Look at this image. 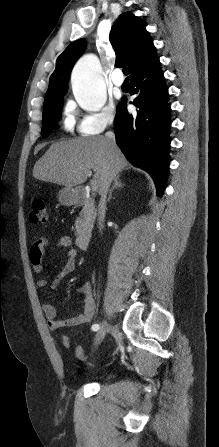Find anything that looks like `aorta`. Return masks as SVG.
I'll return each instance as SVG.
<instances>
[{"label":"aorta","mask_w":219,"mask_h":447,"mask_svg":"<svg viewBox=\"0 0 219 447\" xmlns=\"http://www.w3.org/2000/svg\"><path fill=\"white\" fill-rule=\"evenodd\" d=\"M72 89L77 103L85 110L97 112L105 105L107 95L101 65L93 54L78 60L71 75Z\"/></svg>","instance_id":"obj_1"}]
</instances>
